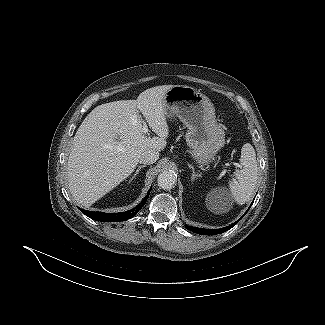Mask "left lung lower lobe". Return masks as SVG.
<instances>
[{"mask_svg": "<svg viewBox=\"0 0 325 325\" xmlns=\"http://www.w3.org/2000/svg\"><path fill=\"white\" fill-rule=\"evenodd\" d=\"M251 205H252V204H251ZM249 209H250V207H249ZM249 209H248V210H249ZM248 210H247V212H248ZM245 214H246V213H245ZM245 214H244V215H245ZM244 215H243L239 220H241V219L244 217ZM239 220L236 221L235 223H233V224H231V225H229V226H227V227L221 228V229H215V230H212V229H202V228H195V227H189V229H190L192 232L197 233V234H202V235H216V234H220V233H223V232L229 230V229L232 228L234 225H236V224L239 222Z\"/></svg>", "mask_w": 325, "mask_h": 325, "instance_id": "obj_1", "label": "left lung lower lobe"}]
</instances>
